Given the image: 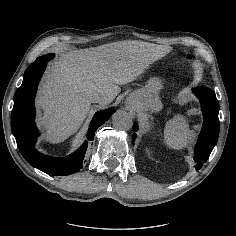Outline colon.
Wrapping results in <instances>:
<instances>
[{
    "mask_svg": "<svg viewBox=\"0 0 236 236\" xmlns=\"http://www.w3.org/2000/svg\"><path fill=\"white\" fill-rule=\"evenodd\" d=\"M185 59H186V61H191V62L195 61V57L192 53L187 54Z\"/></svg>",
    "mask_w": 236,
    "mask_h": 236,
    "instance_id": "1",
    "label": "colon"
}]
</instances>
